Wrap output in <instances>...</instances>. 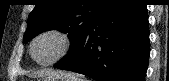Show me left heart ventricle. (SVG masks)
<instances>
[{
  "label": "left heart ventricle",
  "instance_id": "left-heart-ventricle-1",
  "mask_svg": "<svg viewBox=\"0 0 169 81\" xmlns=\"http://www.w3.org/2000/svg\"><path fill=\"white\" fill-rule=\"evenodd\" d=\"M62 48L59 38L47 35L38 39L33 48V56L39 62H48L54 59Z\"/></svg>",
  "mask_w": 169,
  "mask_h": 81
}]
</instances>
